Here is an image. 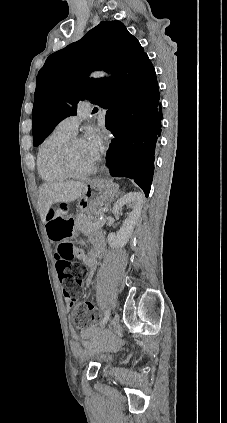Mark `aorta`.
<instances>
[{
  "label": "aorta",
  "mask_w": 227,
  "mask_h": 423,
  "mask_svg": "<svg viewBox=\"0 0 227 423\" xmlns=\"http://www.w3.org/2000/svg\"><path fill=\"white\" fill-rule=\"evenodd\" d=\"M101 75H102L101 73H96L94 76L98 77V76H101Z\"/></svg>",
  "instance_id": "1"
}]
</instances>
